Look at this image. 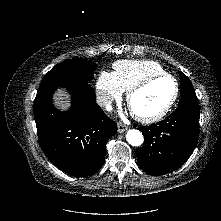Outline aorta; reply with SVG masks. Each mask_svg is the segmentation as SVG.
<instances>
[{
  "instance_id": "obj_1",
  "label": "aorta",
  "mask_w": 221,
  "mask_h": 221,
  "mask_svg": "<svg viewBox=\"0 0 221 221\" xmlns=\"http://www.w3.org/2000/svg\"><path fill=\"white\" fill-rule=\"evenodd\" d=\"M127 142L132 146H140L143 143V135L139 130L130 129L126 133Z\"/></svg>"
}]
</instances>
